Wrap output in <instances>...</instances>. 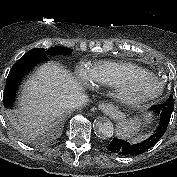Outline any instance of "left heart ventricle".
I'll list each match as a JSON object with an SVG mask.
<instances>
[{
  "label": "left heart ventricle",
  "mask_w": 177,
  "mask_h": 177,
  "mask_svg": "<svg viewBox=\"0 0 177 177\" xmlns=\"http://www.w3.org/2000/svg\"><path fill=\"white\" fill-rule=\"evenodd\" d=\"M127 85L133 93H150L157 89V84L154 81L137 77L128 80Z\"/></svg>",
  "instance_id": "1"
}]
</instances>
